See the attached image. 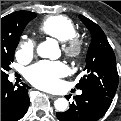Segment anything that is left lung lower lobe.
<instances>
[{
    "instance_id": "0a47b994",
    "label": "left lung lower lobe",
    "mask_w": 121,
    "mask_h": 121,
    "mask_svg": "<svg viewBox=\"0 0 121 121\" xmlns=\"http://www.w3.org/2000/svg\"><path fill=\"white\" fill-rule=\"evenodd\" d=\"M74 99L69 110L57 113L60 121H97L106 113L113 98L91 91H83Z\"/></svg>"
}]
</instances>
